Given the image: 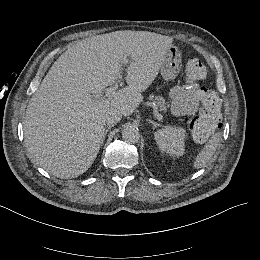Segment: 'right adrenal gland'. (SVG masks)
<instances>
[{"instance_id":"obj_1","label":"right adrenal gland","mask_w":260,"mask_h":260,"mask_svg":"<svg viewBox=\"0 0 260 260\" xmlns=\"http://www.w3.org/2000/svg\"><path fill=\"white\" fill-rule=\"evenodd\" d=\"M112 127H113V125H109V126L107 127V129L105 130V133H104V137H103V138H105L106 134L108 133V131H109Z\"/></svg>"}]
</instances>
